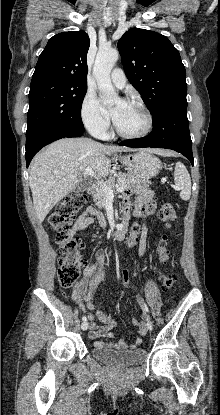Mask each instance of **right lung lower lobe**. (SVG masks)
<instances>
[{
	"mask_svg": "<svg viewBox=\"0 0 220 415\" xmlns=\"http://www.w3.org/2000/svg\"><path fill=\"white\" fill-rule=\"evenodd\" d=\"M84 128L68 132H49L38 136L32 143L26 145V163L29 166L34 155L44 146L63 137H79L83 134Z\"/></svg>",
	"mask_w": 220,
	"mask_h": 415,
	"instance_id": "98d812e1",
	"label": "right lung lower lobe"
}]
</instances>
